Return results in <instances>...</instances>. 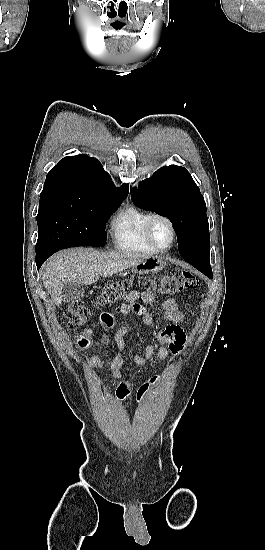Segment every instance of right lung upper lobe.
Masks as SVG:
<instances>
[{
  "instance_id": "1",
  "label": "right lung upper lobe",
  "mask_w": 265,
  "mask_h": 550,
  "mask_svg": "<svg viewBox=\"0 0 265 550\" xmlns=\"http://www.w3.org/2000/svg\"><path fill=\"white\" fill-rule=\"evenodd\" d=\"M129 186L116 188L101 163L86 156H68L46 176L40 200L79 201L92 198L124 199Z\"/></svg>"
}]
</instances>
